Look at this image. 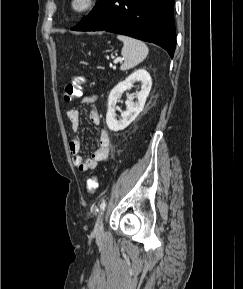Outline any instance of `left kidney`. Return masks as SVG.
<instances>
[{
    "instance_id": "obj_1",
    "label": "left kidney",
    "mask_w": 243,
    "mask_h": 289,
    "mask_svg": "<svg viewBox=\"0 0 243 289\" xmlns=\"http://www.w3.org/2000/svg\"><path fill=\"white\" fill-rule=\"evenodd\" d=\"M136 82L142 83L141 90L135 95L129 96L125 102L127 110L122 112L121 118L117 120L116 104L121 94L126 90H130ZM151 86L152 80L150 74L144 69H139L112 89L108 98V110L106 114V123L110 130H123L136 119L144 108ZM134 98H137L136 102L133 101Z\"/></svg>"
}]
</instances>
